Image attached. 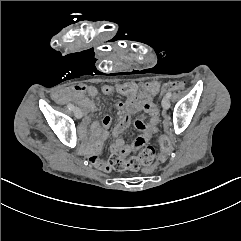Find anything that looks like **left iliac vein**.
Listing matches in <instances>:
<instances>
[{
	"instance_id": "obj_1",
	"label": "left iliac vein",
	"mask_w": 241,
	"mask_h": 241,
	"mask_svg": "<svg viewBox=\"0 0 241 241\" xmlns=\"http://www.w3.org/2000/svg\"><path fill=\"white\" fill-rule=\"evenodd\" d=\"M161 104H162V107H163L165 110L169 109V107H170L169 99L166 98V97L163 98Z\"/></svg>"
}]
</instances>
